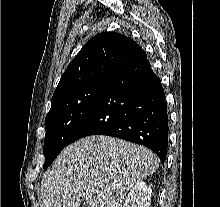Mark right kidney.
<instances>
[{
    "label": "right kidney",
    "mask_w": 220,
    "mask_h": 207,
    "mask_svg": "<svg viewBox=\"0 0 220 207\" xmlns=\"http://www.w3.org/2000/svg\"><path fill=\"white\" fill-rule=\"evenodd\" d=\"M151 186L146 182L138 181L130 190L123 207H150Z\"/></svg>",
    "instance_id": "ca27d5eb"
}]
</instances>
